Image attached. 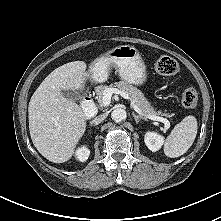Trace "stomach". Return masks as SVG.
Listing matches in <instances>:
<instances>
[{
	"label": "stomach",
	"mask_w": 221,
	"mask_h": 221,
	"mask_svg": "<svg viewBox=\"0 0 221 221\" xmlns=\"http://www.w3.org/2000/svg\"><path fill=\"white\" fill-rule=\"evenodd\" d=\"M111 67L117 69L120 77L130 84L142 85L147 79L146 66L134 46H117L94 60L89 67L91 80L105 82Z\"/></svg>",
	"instance_id": "obj_1"
}]
</instances>
